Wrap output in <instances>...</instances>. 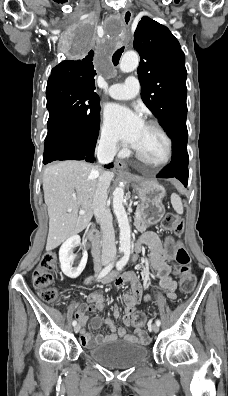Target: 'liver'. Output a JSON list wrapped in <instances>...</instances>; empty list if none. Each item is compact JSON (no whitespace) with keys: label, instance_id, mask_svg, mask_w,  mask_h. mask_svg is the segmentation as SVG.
I'll list each match as a JSON object with an SVG mask.
<instances>
[{"label":"liver","instance_id":"6515ba94","mask_svg":"<svg viewBox=\"0 0 228 396\" xmlns=\"http://www.w3.org/2000/svg\"><path fill=\"white\" fill-rule=\"evenodd\" d=\"M101 173L96 166L83 161H63L45 169L43 191L49 216L47 251L89 225ZM113 176L111 173L112 178ZM79 209L85 213L80 215Z\"/></svg>","mask_w":228,"mask_h":396}]
</instances>
